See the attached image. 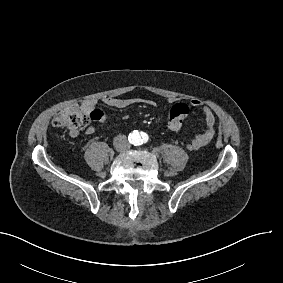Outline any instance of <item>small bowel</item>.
<instances>
[{
  "instance_id": "small-bowel-1",
  "label": "small bowel",
  "mask_w": 283,
  "mask_h": 283,
  "mask_svg": "<svg viewBox=\"0 0 283 283\" xmlns=\"http://www.w3.org/2000/svg\"><path fill=\"white\" fill-rule=\"evenodd\" d=\"M170 102H174V100H170ZM99 104H102L106 107L118 108V109L128 108L135 105H144L151 108L157 107V102L152 99H145L139 97H130V98L104 97L100 100L94 98L87 99L82 103L81 108L84 112L88 114H92L95 121L104 122L106 120V116L102 111L97 109V106ZM178 104L179 103H177L173 107V109ZM190 105L195 108H201L204 114L201 131L186 143L188 150L199 151L214 138L216 133V120L212 110L208 106L203 105L199 100L192 99L190 101ZM172 111L170 115L172 114ZM124 118H127V116H125ZM168 128L172 131L179 130V129H172L169 125ZM86 133L88 135L94 134L95 128L92 126L88 127L86 129Z\"/></svg>"
}]
</instances>
